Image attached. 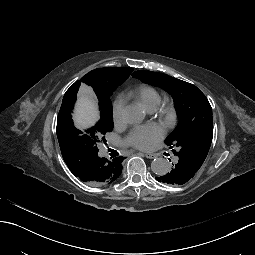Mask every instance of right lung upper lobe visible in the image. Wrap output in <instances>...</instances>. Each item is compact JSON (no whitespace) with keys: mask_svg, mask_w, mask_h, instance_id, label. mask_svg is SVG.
Listing matches in <instances>:
<instances>
[{"mask_svg":"<svg viewBox=\"0 0 255 255\" xmlns=\"http://www.w3.org/2000/svg\"><path fill=\"white\" fill-rule=\"evenodd\" d=\"M132 71V68L127 67H104L90 71L66 91L59 114L73 109L80 86L82 91L90 96H94V93L97 98L109 95L129 77ZM112 129H108L102 134L104 135ZM96 142L98 139L90 145V152L87 154L75 153L73 146L68 145H60V149L65 163L76 177L94 186H106L115 182L121 175V163L124 157L119 156L110 159L102 157L100 153L98 154ZM92 164H97L100 167V180L97 182L89 180V167ZM83 171L88 173L86 178L81 176Z\"/></svg>","mask_w":255,"mask_h":255,"instance_id":"obj_1","label":"right lung upper lobe"}]
</instances>
